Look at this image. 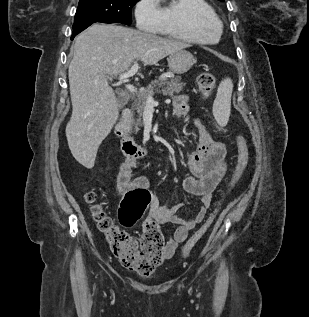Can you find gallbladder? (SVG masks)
<instances>
[{
	"label": "gallbladder",
	"instance_id": "gallbladder-1",
	"mask_svg": "<svg viewBox=\"0 0 309 317\" xmlns=\"http://www.w3.org/2000/svg\"><path fill=\"white\" fill-rule=\"evenodd\" d=\"M128 101L127 96L119 95L118 96V105L119 107H123Z\"/></svg>",
	"mask_w": 309,
	"mask_h": 317
}]
</instances>
